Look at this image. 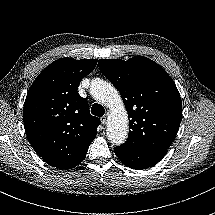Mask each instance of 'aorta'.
Returning a JSON list of instances; mask_svg holds the SVG:
<instances>
[{"label": "aorta", "mask_w": 215, "mask_h": 215, "mask_svg": "<svg viewBox=\"0 0 215 215\" xmlns=\"http://www.w3.org/2000/svg\"><path fill=\"white\" fill-rule=\"evenodd\" d=\"M91 95L109 107L112 119L108 122L107 137L115 145L123 144L129 132L128 114L117 89L109 82L98 79L91 86Z\"/></svg>", "instance_id": "aorta-1"}]
</instances>
